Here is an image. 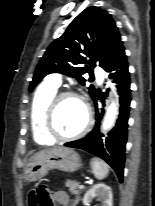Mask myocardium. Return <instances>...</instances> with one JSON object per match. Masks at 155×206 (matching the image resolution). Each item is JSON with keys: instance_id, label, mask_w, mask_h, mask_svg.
Masks as SVG:
<instances>
[{"instance_id": "f54148a6", "label": "myocardium", "mask_w": 155, "mask_h": 206, "mask_svg": "<svg viewBox=\"0 0 155 206\" xmlns=\"http://www.w3.org/2000/svg\"><path fill=\"white\" fill-rule=\"evenodd\" d=\"M65 98L78 99L85 108L86 119L83 127L76 133L71 135H61L55 128L54 117L58 104ZM92 124V111L85 99L73 91H61L56 93L48 103L44 113V128L46 133L54 140L69 141L84 136L90 129Z\"/></svg>"}]
</instances>
